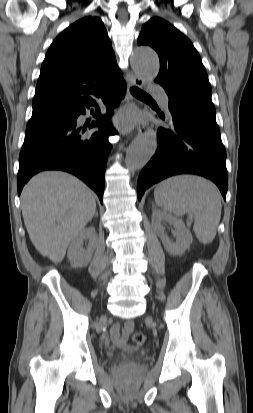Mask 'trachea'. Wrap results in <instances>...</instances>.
<instances>
[{"label": "trachea", "instance_id": "trachea-1", "mask_svg": "<svg viewBox=\"0 0 253 413\" xmlns=\"http://www.w3.org/2000/svg\"><path fill=\"white\" fill-rule=\"evenodd\" d=\"M130 91H131V93H132L134 96L148 97V98H150V96H149L148 94H146L145 92H143L142 90H140V89L137 88V87H132V88L130 89Z\"/></svg>", "mask_w": 253, "mask_h": 413}]
</instances>
